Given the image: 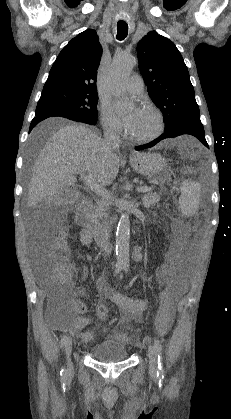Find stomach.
I'll use <instances>...</instances> for the list:
<instances>
[{
    "label": "stomach",
    "mask_w": 231,
    "mask_h": 419,
    "mask_svg": "<svg viewBox=\"0 0 231 419\" xmlns=\"http://www.w3.org/2000/svg\"><path fill=\"white\" fill-rule=\"evenodd\" d=\"M133 169L148 179L161 181L165 169V159L155 152H141L130 157Z\"/></svg>",
    "instance_id": "obj_1"
}]
</instances>
